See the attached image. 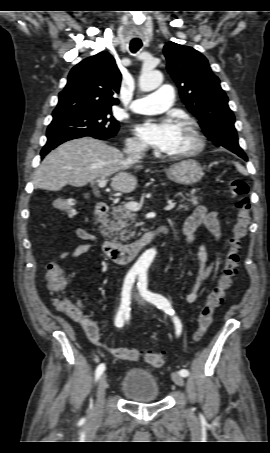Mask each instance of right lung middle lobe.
<instances>
[{
	"mask_svg": "<svg viewBox=\"0 0 270 453\" xmlns=\"http://www.w3.org/2000/svg\"><path fill=\"white\" fill-rule=\"evenodd\" d=\"M118 121L111 116V110L86 111L54 117L48 133H90L110 138L118 132Z\"/></svg>",
	"mask_w": 270,
	"mask_h": 453,
	"instance_id": "1",
	"label": "right lung middle lobe"
}]
</instances>
